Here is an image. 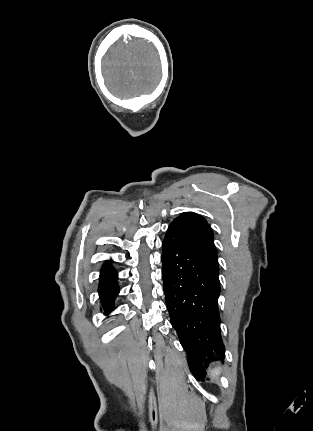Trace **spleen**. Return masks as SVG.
Returning a JSON list of instances; mask_svg holds the SVG:
<instances>
[{
  "label": "spleen",
  "mask_w": 313,
  "mask_h": 431,
  "mask_svg": "<svg viewBox=\"0 0 313 431\" xmlns=\"http://www.w3.org/2000/svg\"><path fill=\"white\" fill-rule=\"evenodd\" d=\"M220 373H221V367L220 366L209 370V375L214 380H218Z\"/></svg>",
  "instance_id": "1"
}]
</instances>
